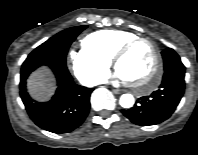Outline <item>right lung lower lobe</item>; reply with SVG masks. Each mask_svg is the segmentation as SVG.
<instances>
[{
	"mask_svg": "<svg viewBox=\"0 0 198 155\" xmlns=\"http://www.w3.org/2000/svg\"><path fill=\"white\" fill-rule=\"evenodd\" d=\"M51 68L57 79V90L49 102L39 103L31 99L26 90V79L36 68ZM20 96L30 118L39 127L53 133H68L78 128L90 109L91 88L73 82L65 62L34 60L24 63L21 69Z\"/></svg>",
	"mask_w": 198,
	"mask_h": 155,
	"instance_id": "obj_1",
	"label": "right lung lower lobe"
}]
</instances>
